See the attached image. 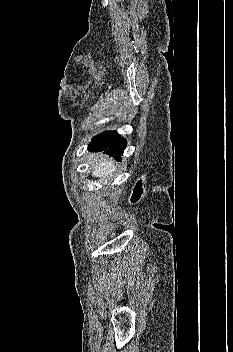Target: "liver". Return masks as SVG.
<instances>
[{
    "label": "liver",
    "mask_w": 233,
    "mask_h": 352,
    "mask_svg": "<svg viewBox=\"0 0 233 352\" xmlns=\"http://www.w3.org/2000/svg\"><path fill=\"white\" fill-rule=\"evenodd\" d=\"M114 170V163L108 159H101L93 166L92 175L95 177H106Z\"/></svg>",
    "instance_id": "obj_1"
}]
</instances>
